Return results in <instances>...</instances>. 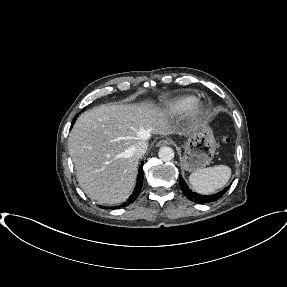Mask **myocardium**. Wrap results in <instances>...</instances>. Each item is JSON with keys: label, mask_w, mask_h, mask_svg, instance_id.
<instances>
[{"label": "myocardium", "mask_w": 287, "mask_h": 287, "mask_svg": "<svg viewBox=\"0 0 287 287\" xmlns=\"http://www.w3.org/2000/svg\"><path fill=\"white\" fill-rule=\"evenodd\" d=\"M188 110H190V114L192 115L201 114L204 110V104L198 100H195Z\"/></svg>", "instance_id": "obj_1"}]
</instances>
